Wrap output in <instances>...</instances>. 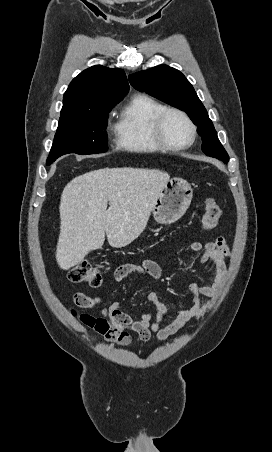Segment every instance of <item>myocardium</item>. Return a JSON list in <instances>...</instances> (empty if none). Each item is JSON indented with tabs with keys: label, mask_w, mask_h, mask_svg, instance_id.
<instances>
[{
	"label": "myocardium",
	"mask_w": 272,
	"mask_h": 452,
	"mask_svg": "<svg viewBox=\"0 0 272 452\" xmlns=\"http://www.w3.org/2000/svg\"><path fill=\"white\" fill-rule=\"evenodd\" d=\"M168 113L178 114L185 120V122L187 123V125L190 129V139L188 142L182 143V144H173L170 141H168V139L166 138V136L164 134V129H163L164 119ZM152 130H153V134H154L156 141L161 145V147H163L164 149L173 150V151L183 150V149L190 147L194 143V141L196 139V135H197L196 125L194 124L192 119L189 117V115L185 111H183L177 107H172V106H164L157 113V115L154 117V120L152 123Z\"/></svg>",
	"instance_id": "obj_1"
}]
</instances>
